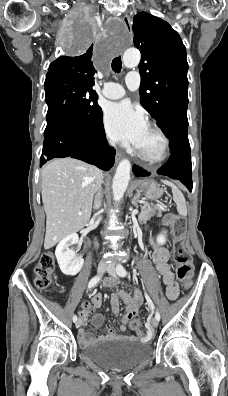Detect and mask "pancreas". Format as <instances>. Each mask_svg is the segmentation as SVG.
Segmentation results:
<instances>
[{"label": "pancreas", "mask_w": 228, "mask_h": 396, "mask_svg": "<svg viewBox=\"0 0 228 396\" xmlns=\"http://www.w3.org/2000/svg\"><path fill=\"white\" fill-rule=\"evenodd\" d=\"M165 210L166 206L164 204L150 205L144 203L140 209V212H143L144 215L139 216V219L143 220V223H147V220L154 219V216L152 214H154L156 211L158 212V215H160L161 212Z\"/></svg>", "instance_id": "pancreas-1"}]
</instances>
